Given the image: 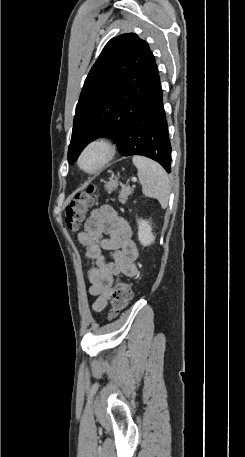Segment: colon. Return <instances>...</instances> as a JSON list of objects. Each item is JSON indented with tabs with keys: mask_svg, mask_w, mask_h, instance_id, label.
<instances>
[{
	"mask_svg": "<svg viewBox=\"0 0 245 457\" xmlns=\"http://www.w3.org/2000/svg\"><path fill=\"white\" fill-rule=\"evenodd\" d=\"M95 191V187L90 186L86 192L78 194L66 206L64 216L67 227L70 230H77L88 206L92 202ZM132 296L131 286L126 282H119L110 297L109 316L111 318L117 316L127 306Z\"/></svg>",
	"mask_w": 245,
	"mask_h": 457,
	"instance_id": "5ec220e1",
	"label": "colon"
}]
</instances>
